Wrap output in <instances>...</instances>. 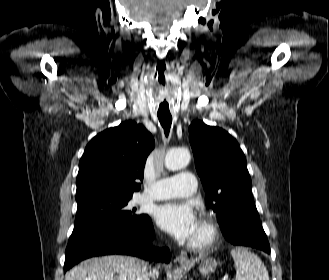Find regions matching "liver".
Returning a JSON list of instances; mask_svg holds the SVG:
<instances>
[{
	"label": "liver",
	"mask_w": 329,
	"mask_h": 280,
	"mask_svg": "<svg viewBox=\"0 0 329 280\" xmlns=\"http://www.w3.org/2000/svg\"><path fill=\"white\" fill-rule=\"evenodd\" d=\"M147 263L130 256L110 255L82 262L71 269L65 280H140ZM159 272L154 269L153 278Z\"/></svg>",
	"instance_id": "1"
}]
</instances>
